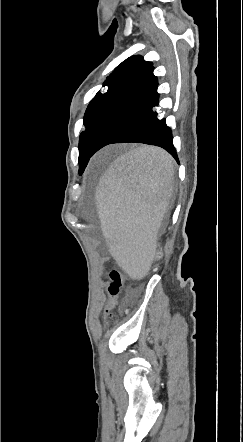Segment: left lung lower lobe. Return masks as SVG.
<instances>
[{
  "instance_id": "0a47b994",
  "label": "left lung lower lobe",
  "mask_w": 243,
  "mask_h": 442,
  "mask_svg": "<svg viewBox=\"0 0 243 442\" xmlns=\"http://www.w3.org/2000/svg\"><path fill=\"white\" fill-rule=\"evenodd\" d=\"M157 87V77L152 72L114 105L92 136L84 152L85 163L102 147L127 142L162 147L179 163L171 129L156 110L159 105Z\"/></svg>"
}]
</instances>
